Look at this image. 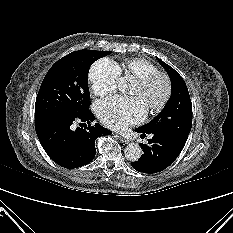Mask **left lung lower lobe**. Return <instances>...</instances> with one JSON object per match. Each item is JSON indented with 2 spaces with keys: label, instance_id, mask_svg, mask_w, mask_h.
<instances>
[{
  "label": "left lung lower lobe",
  "instance_id": "left-lung-lower-lobe-1",
  "mask_svg": "<svg viewBox=\"0 0 233 233\" xmlns=\"http://www.w3.org/2000/svg\"><path fill=\"white\" fill-rule=\"evenodd\" d=\"M135 131L142 133L141 136L152 135L147 145L141 144L143 154L139 160L131 162L132 167L139 172L157 173L164 170L174 162L185 145L165 131L144 132L139 128Z\"/></svg>",
  "mask_w": 233,
  "mask_h": 233
}]
</instances>
